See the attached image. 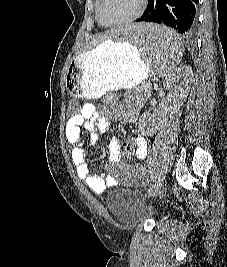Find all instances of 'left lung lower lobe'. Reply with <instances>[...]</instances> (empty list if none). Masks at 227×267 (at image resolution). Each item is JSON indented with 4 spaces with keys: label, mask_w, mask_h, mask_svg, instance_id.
<instances>
[{
    "label": "left lung lower lobe",
    "mask_w": 227,
    "mask_h": 267,
    "mask_svg": "<svg viewBox=\"0 0 227 267\" xmlns=\"http://www.w3.org/2000/svg\"><path fill=\"white\" fill-rule=\"evenodd\" d=\"M198 0H148V7L136 22H155L191 37L196 30Z\"/></svg>",
    "instance_id": "left-lung-lower-lobe-1"
}]
</instances>
